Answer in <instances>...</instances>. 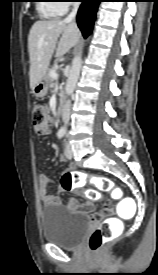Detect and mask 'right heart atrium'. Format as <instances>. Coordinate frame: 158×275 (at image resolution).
<instances>
[{
    "label": "right heart atrium",
    "mask_w": 158,
    "mask_h": 275,
    "mask_svg": "<svg viewBox=\"0 0 158 275\" xmlns=\"http://www.w3.org/2000/svg\"><path fill=\"white\" fill-rule=\"evenodd\" d=\"M56 2H60L57 3V6L61 8L62 13H65L66 11H68V8L71 5V3L75 2V0H58Z\"/></svg>",
    "instance_id": "d8ad5b80"
}]
</instances>
